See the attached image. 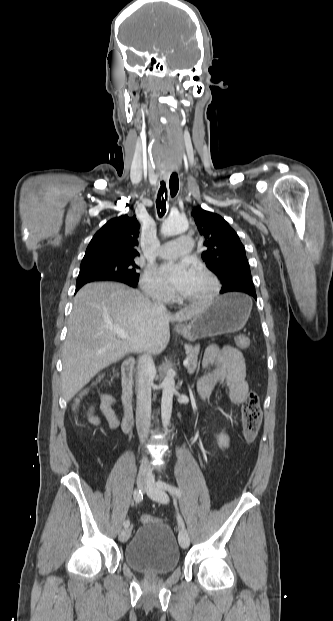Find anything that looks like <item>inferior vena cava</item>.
Here are the masks:
<instances>
[{"label": "inferior vena cava", "mask_w": 333, "mask_h": 621, "mask_svg": "<svg viewBox=\"0 0 333 621\" xmlns=\"http://www.w3.org/2000/svg\"><path fill=\"white\" fill-rule=\"evenodd\" d=\"M157 308L166 311L165 306L158 302ZM155 372L152 356L143 354L137 364V404H136V428L140 442L143 444L148 437L151 420V378ZM142 460V464H146Z\"/></svg>", "instance_id": "obj_1"}]
</instances>
